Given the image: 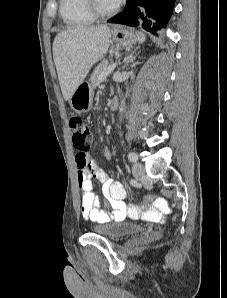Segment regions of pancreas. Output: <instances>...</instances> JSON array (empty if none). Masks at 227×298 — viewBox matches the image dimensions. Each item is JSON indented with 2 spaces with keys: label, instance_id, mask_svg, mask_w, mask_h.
Returning <instances> with one entry per match:
<instances>
[{
  "label": "pancreas",
  "instance_id": "cf45deb5",
  "mask_svg": "<svg viewBox=\"0 0 227 298\" xmlns=\"http://www.w3.org/2000/svg\"><path fill=\"white\" fill-rule=\"evenodd\" d=\"M107 67H108V61L106 59H104L102 62H100L97 65V67L95 68V70L93 71V73L90 77L92 87L95 88V87L99 86V84H100L99 77Z\"/></svg>",
  "mask_w": 227,
  "mask_h": 298
}]
</instances>
